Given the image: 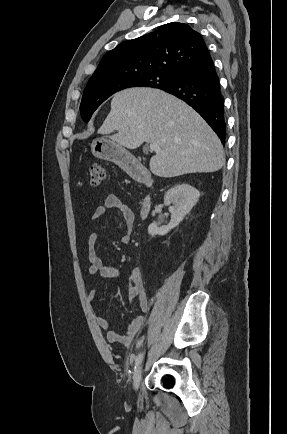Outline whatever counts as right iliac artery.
I'll return each mask as SVG.
<instances>
[{"label": "right iliac artery", "mask_w": 287, "mask_h": 434, "mask_svg": "<svg viewBox=\"0 0 287 434\" xmlns=\"http://www.w3.org/2000/svg\"><path fill=\"white\" fill-rule=\"evenodd\" d=\"M143 353H140L135 359V368L142 362Z\"/></svg>", "instance_id": "obj_1"}]
</instances>
